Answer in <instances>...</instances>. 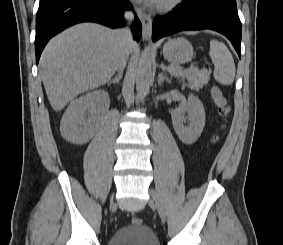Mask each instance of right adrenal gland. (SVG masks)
<instances>
[{
  "label": "right adrenal gland",
  "mask_w": 283,
  "mask_h": 245,
  "mask_svg": "<svg viewBox=\"0 0 283 245\" xmlns=\"http://www.w3.org/2000/svg\"><path fill=\"white\" fill-rule=\"evenodd\" d=\"M121 78H122V74L118 73V75L114 79H111L107 82L108 86H110L111 84H119Z\"/></svg>",
  "instance_id": "right-adrenal-gland-1"
}]
</instances>
